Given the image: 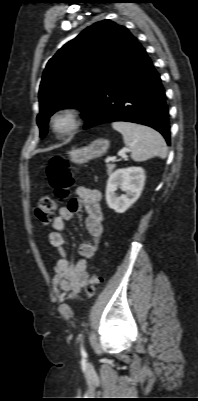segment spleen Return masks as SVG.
<instances>
[{
  "label": "spleen",
  "mask_w": 198,
  "mask_h": 401,
  "mask_svg": "<svg viewBox=\"0 0 198 401\" xmlns=\"http://www.w3.org/2000/svg\"><path fill=\"white\" fill-rule=\"evenodd\" d=\"M112 127L123 135L124 143L130 149L134 161H146L153 157L166 158V142L154 129L122 121L113 122Z\"/></svg>",
  "instance_id": "1"
}]
</instances>
